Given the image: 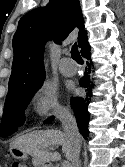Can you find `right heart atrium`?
<instances>
[{
  "label": "right heart atrium",
  "instance_id": "right-heart-atrium-1",
  "mask_svg": "<svg viewBox=\"0 0 125 167\" xmlns=\"http://www.w3.org/2000/svg\"><path fill=\"white\" fill-rule=\"evenodd\" d=\"M31 104L39 121L58 119L68 113L58 89L49 81H45L33 94Z\"/></svg>",
  "mask_w": 125,
  "mask_h": 167
}]
</instances>
